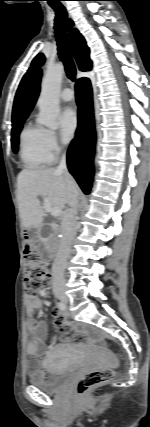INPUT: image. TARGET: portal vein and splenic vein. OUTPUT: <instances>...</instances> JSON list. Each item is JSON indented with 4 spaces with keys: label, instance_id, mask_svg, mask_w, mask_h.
<instances>
[{
    "label": "portal vein and splenic vein",
    "instance_id": "obj_1",
    "mask_svg": "<svg viewBox=\"0 0 150 427\" xmlns=\"http://www.w3.org/2000/svg\"><path fill=\"white\" fill-rule=\"evenodd\" d=\"M44 209L46 212L50 213L52 216L57 217L60 216L62 213L61 208L58 207H52L48 201V199L44 198Z\"/></svg>",
    "mask_w": 150,
    "mask_h": 427
}]
</instances>
